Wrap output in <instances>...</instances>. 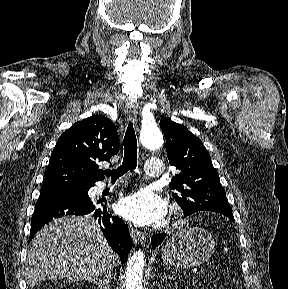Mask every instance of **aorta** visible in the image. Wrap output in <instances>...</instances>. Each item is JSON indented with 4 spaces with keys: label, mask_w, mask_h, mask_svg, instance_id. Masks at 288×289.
<instances>
[{
    "label": "aorta",
    "mask_w": 288,
    "mask_h": 289,
    "mask_svg": "<svg viewBox=\"0 0 288 289\" xmlns=\"http://www.w3.org/2000/svg\"><path fill=\"white\" fill-rule=\"evenodd\" d=\"M140 140L142 145L150 150H157L163 145L162 134L155 125L142 129ZM144 262L145 254L141 250L135 251L130 256L126 269V289H143L142 278Z\"/></svg>",
    "instance_id": "1"
}]
</instances>
